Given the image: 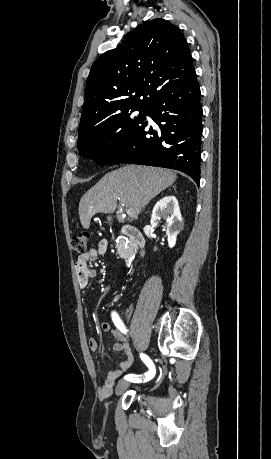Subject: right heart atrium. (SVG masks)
Listing matches in <instances>:
<instances>
[{"label":"right heart atrium","mask_w":271,"mask_h":459,"mask_svg":"<svg viewBox=\"0 0 271 459\" xmlns=\"http://www.w3.org/2000/svg\"><path fill=\"white\" fill-rule=\"evenodd\" d=\"M122 138L119 130H108L101 135L100 145L109 154L117 152L121 148Z\"/></svg>","instance_id":"d8ad5b80"}]
</instances>
